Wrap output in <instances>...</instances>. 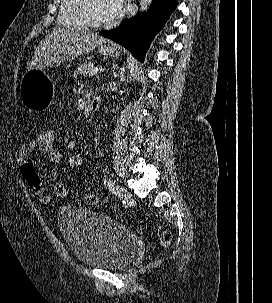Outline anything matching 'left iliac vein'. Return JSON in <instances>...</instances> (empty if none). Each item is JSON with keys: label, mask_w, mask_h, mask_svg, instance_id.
<instances>
[{"label": "left iliac vein", "mask_w": 272, "mask_h": 303, "mask_svg": "<svg viewBox=\"0 0 272 303\" xmlns=\"http://www.w3.org/2000/svg\"><path fill=\"white\" fill-rule=\"evenodd\" d=\"M117 196L123 201V202H128L130 199V193L123 187L121 186H116L115 190Z\"/></svg>", "instance_id": "left-iliac-vein-1"}]
</instances>
